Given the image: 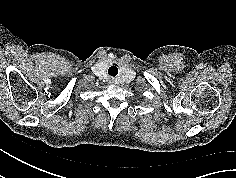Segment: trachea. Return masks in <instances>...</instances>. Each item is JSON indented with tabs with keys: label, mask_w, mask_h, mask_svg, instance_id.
<instances>
[{
	"label": "trachea",
	"mask_w": 236,
	"mask_h": 178,
	"mask_svg": "<svg viewBox=\"0 0 236 178\" xmlns=\"http://www.w3.org/2000/svg\"><path fill=\"white\" fill-rule=\"evenodd\" d=\"M108 74L113 77H115L118 74V68L116 67V64H113L112 66L109 67Z\"/></svg>",
	"instance_id": "1"
}]
</instances>
